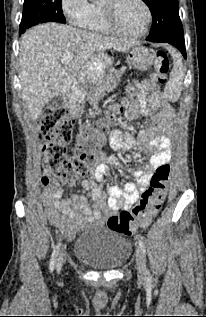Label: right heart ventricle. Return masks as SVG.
Returning <instances> with one entry per match:
<instances>
[{"instance_id": "obj_1", "label": "right heart ventricle", "mask_w": 206, "mask_h": 317, "mask_svg": "<svg viewBox=\"0 0 206 317\" xmlns=\"http://www.w3.org/2000/svg\"><path fill=\"white\" fill-rule=\"evenodd\" d=\"M85 28L100 33L111 32L106 24L101 3L94 2L91 4V12Z\"/></svg>"}]
</instances>
